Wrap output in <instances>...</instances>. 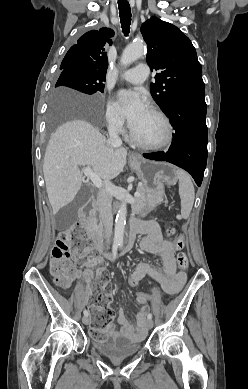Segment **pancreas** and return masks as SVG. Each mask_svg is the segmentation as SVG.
<instances>
[{
  "instance_id": "pancreas-1",
  "label": "pancreas",
  "mask_w": 248,
  "mask_h": 389,
  "mask_svg": "<svg viewBox=\"0 0 248 389\" xmlns=\"http://www.w3.org/2000/svg\"><path fill=\"white\" fill-rule=\"evenodd\" d=\"M137 191L139 192V196L135 197L136 204L133 205V209L136 212H141L146 207V188L144 185L140 184L137 187ZM102 225L101 223L98 225V231L101 232Z\"/></svg>"
}]
</instances>
